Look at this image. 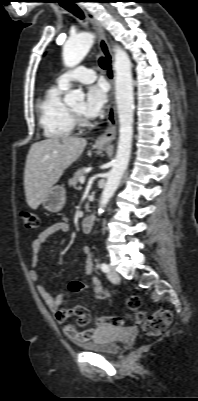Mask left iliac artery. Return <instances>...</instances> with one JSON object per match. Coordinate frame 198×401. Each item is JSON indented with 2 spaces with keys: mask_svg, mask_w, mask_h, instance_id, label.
I'll return each mask as SVG.
<instances>
[{
  "mask_svg": "<svg viewBox=\"0 0 198 401\" xmlns=\"http://www.w3.org/2000/svg\"><path fill=\"white\" fill-rule=\"evenodd\" d=\"M100 268H101V270L103 272H108L109 271V266L107 264H105V263H102Z\"/></svg>",
  "mask_w": 198,
  "mask_h": 401,
  "instance_id": "1",
  "label": "left iliac artery"
}]
</instances>
